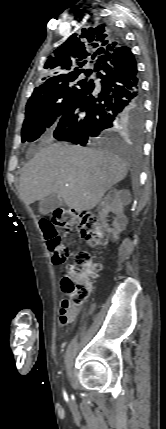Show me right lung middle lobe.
Listing matches in <instances>:
<instances>
[{
  "label": "right lung middle lobe",
  "instance_id": "1",
  "mask_svg": "<svg viewBox=\"0 0 166 429\" xmlns=\"http://www.w3.org/2000/svg\"><path fill=\"white\" fill-rule=\"evenodd\" d=\"M86 83V79L80 80L79 75H75L44 91L33 93L26 105L25 121L21 133L22 142H32L48 128L55 127L73 98ZM141 133L135 137H140Z\"/></svg>",
  "mask_w": 166,
  "mask_h": 429
}]
</instances>
